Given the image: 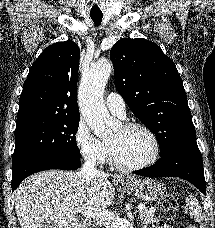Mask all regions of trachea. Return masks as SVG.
I'll use <instances>...</instances> for the list:
<instances>
[{
    "label": "trachea",
    "mask_w": 215,
    "mask_h": 228,
    "mask_svg": "<svg viewBox=\"0 0 215 228\" xmlns=\"http://www.w3.org/2000/svg\"><path fill=\"white\" fill-rule=\"evenodd\" d=\"M90 17L92 18L94 24L96 26H99L101 21H102V17H103V14L101 13H98V14H90Z\"/></svg>",
    "instance_id": "1"
}]
</instances>
